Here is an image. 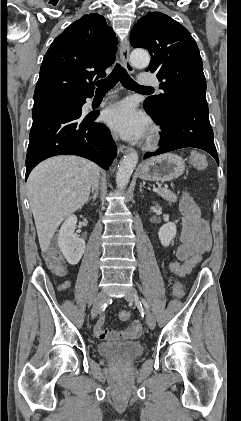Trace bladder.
<instances>
[{
  "instance_id": "1",
  "label": "bladder",
  "mask_w": 241,
  "mask_h": 421,
  "mask_svg": "<svg viewBox=\"0 0 241 421\" xmlns=\"http://www.w3.org/2000/svg\"><path fill=\"white\" fill-rule=\"evenodd\" d=\"M98 353L111 361L127 363L139 358L144 351L141 343L131 342H104L97 347Z\"/></svg>"
}]
</instances>
